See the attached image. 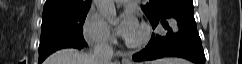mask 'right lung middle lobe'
<instances>
[{
    "label": "right lung middle lobe",
    "instance_id": "right-lung-middle-lobe-1",
    "mask_svg": "<svg viewBox=\"0 0 242 64\" xmlns=\"http://www.w3.org/2000/svg\"><path fill=\"white\" fill-rule=\"evenodd\" d=\"M89 10L43 14L39 45V64L62 48L82 49L87 46L83 24Z\"/></svg>",
    "mask_w": 242,
    "mask_h": 64
}]
</instances>
